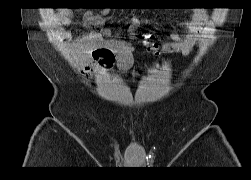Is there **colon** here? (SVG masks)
Masks as SVG:
<instances>
[{"instance_id":"1","label":"colon","mask_w":251,"mask_h":180,"mask_svg":"<svg viewBox=\"0 0 251 180\" xmlns=\"http://www.w3.org/2000/svg\"><path fill=\"white\" fill-rule=\"evenodd\" d=\"M143 39H145L148 42L149 48L156 54L159 53V46L156 42L151 41L150 35H144L142 36Z\"/></svg>"}]
</instances>
